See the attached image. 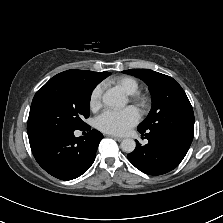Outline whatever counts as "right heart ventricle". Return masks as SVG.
<instances>
[{
	"mask_svg": "<svg viewBox=\"0 0 223 223\" xmlns=\"http://www.w3.org/2000/svg\"><path fill=\"white\" fill-rule=\"evenodd\" d=\"M116 83L128 95H136L139 92L140 86L136 79L123 76L116 80Z\"/></svg>",
	"mask_w": 223,
	"mask_h": 223,
	"instance_id": "obj_1",
	"label": "right heart ventricle"
}]
</instances>
